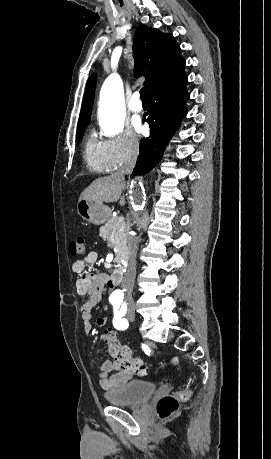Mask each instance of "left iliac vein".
I'll return each instance as SVG.
<instances>
[{
	"label": "left iliac vein",
	"instance_id": "1",
	"mask_svg": "<svg viewBox=\"0 0 271 459\" xmlns=\"http://www.w3.org/2000/svg\"><path fill=\"white\" fill-rule=\"evenodd\" d=\"M133 316H134V313L132 311H128L127 313V319L129 321H133Z\"/></svg>",
	"mask_w": 271,
	"mask_h": 459
}]
</instances>
